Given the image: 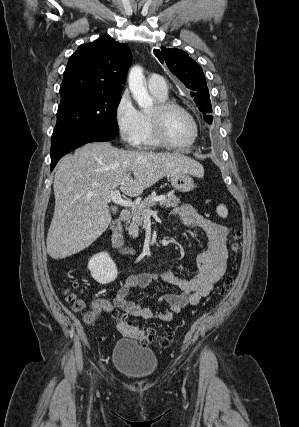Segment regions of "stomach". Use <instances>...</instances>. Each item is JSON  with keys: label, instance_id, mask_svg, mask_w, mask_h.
<instances>
[{"label": "stomach", "instance_id": "obj_1", "mask_svg": "<svg viewBox=\"0 0 299 427\" xmlns=\"http://www.w3.org/2000/svg\"><path fill=\"white\" fill-rule=\"evenodd\" d=\"M172 187L179 192H189L194 188L192 174L187 172H176L170 174Z\"/></svg>", "mask_w": 299, "mask_h": 427}]
</instances>
